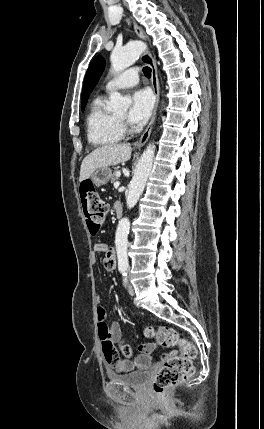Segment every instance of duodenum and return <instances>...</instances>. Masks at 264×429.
<instances>
[{
	"label": "duodenum",
	"instance_id": "duodenum-1",
	"mask_svg": "<svg viewBox=\"0 0 264 429\" xmlns=\"http://www.w3.org/2000/svg\"><path fill=\"white\" fill-rule=\"evenodd\" d=\"M115 212L117 217H121L123 215V208L121 204L115 205Z\"/></svg>",
	"mask_w": 264,
	"mask_h": 429
}]
</instances>
